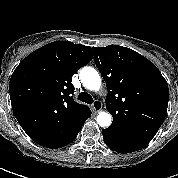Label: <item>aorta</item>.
I'll return each instance as SVG.
<instances>
[{"instance_id":"762f6f07","label":"aorta","mask_w":178,"mask_h":178,"mask_svg":"<svg viewBox=\"0 0 178 178\" xmlns=\"http://www.w3.org/2000/svg\"><path fill=\"white\" fill-rule=\"evenodd\" d=\"M80 80L83 85L93 91H98L101 87V78L99 73L92 67H83L80 70ZM112 117L108 112H100L97 116V123L101 127H109Z\"/></svg>"}]
</instances>
